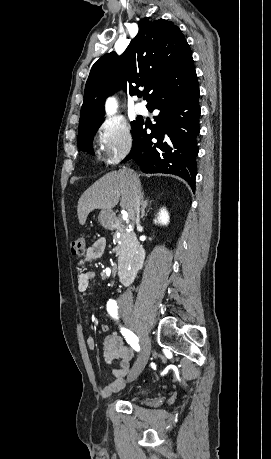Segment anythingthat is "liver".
<instances>
[{
  "mask_svg": "<svg viewBox=\"0 0 271 459\" xmlns=\"http://www.w3.org/2000/svg\"><path fill=\"white\" fill-rule=\"evenodd\" d=\"M134 184H138L140 190L141 186L138 174H134L131 170L109 172V174L97 180L91 188H88L82 194L78 202L77 214L79 224L84 226L87 216L92 210L112 212V208L117 206L120 196H122L120 202L121 208L129 210V214L132 216Z\"/></svg>",
  "mask_w": 271,
  "mask_h": 459,
  "instance_id": "1",
  "label": "liver"
}]
</instances>
